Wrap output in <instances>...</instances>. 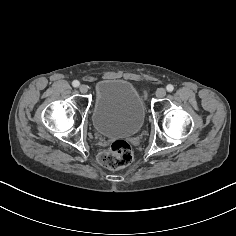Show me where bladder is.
<instances>
[{"instance_id": "1", "label": "bladder", "mask_w": 236, "mask_h": 236, "mask_svg": "<svg viewBox=\"0 0 236 236\" xmlns=\"http://www.w3.org/2000/svg\"><path fill=\"white\" fill-rule=\"evenodd\" d=\"M92 122L103 136H134L144 126V101L137 89L125 80H100L95 85Z\"/></svg>"}]
</instances>
